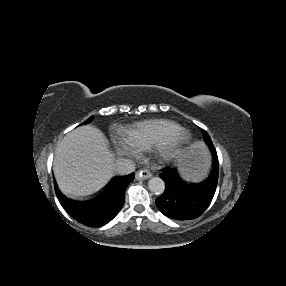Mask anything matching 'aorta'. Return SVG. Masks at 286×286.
Segmentation results:
<instances>
[{
    "label": "aorta",
    "instance_id": "aorta-1",
    "mask_svg": "<svg viewBox=\"0 0 286 286\" xmlns=\"http://www.w3.org/2000/svg\"><path fill=\"white\" fill-rule=\"evenodd\" d=\"M148 188L152 193L160 195L165 191V182L160 177H152L148 181Z\"/></svg>",
    "mask_w": 286,
    "mask_h": 286
}]
</instances>
